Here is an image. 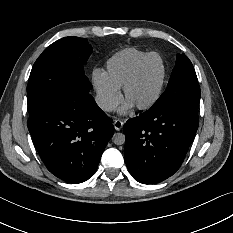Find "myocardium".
Returning <instances> with one entry per match:
<instances>
[{
    "mask_svg": "<svg viewBox=\"0 0 233 233\" xmlns=\"http://www.w3.org/2000/svg\"><path fill=\"white\" fill-rule=\"evenodd\" d=\"M153 57H160L163 62H164V78L161 84V87L159 89L158 94L156 95V97L148 104L145 105H139L136 106L138 110L140 111H148L151 108L155 107L162 99L167 83H168V79H169V65L165 59V57L159 53V52H151L149 53L135 68L134 70L131 72V74L128 76V78L125 80L123 86H122V90H123V95L127 98V93L129 88L132 86V84L136 81V79L138 78V76L140 75L141 71L144 69V67L146 66V64L153 58Z\"/></svg>",
    "mask_w": 233,
    "mask_h": 233,
    "instance_id": "myocardium-1",
    "label": "myocardium"
}]
</instances>
